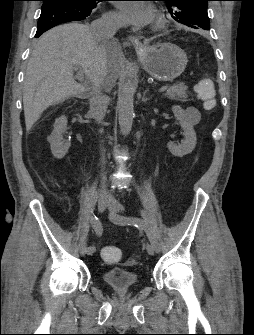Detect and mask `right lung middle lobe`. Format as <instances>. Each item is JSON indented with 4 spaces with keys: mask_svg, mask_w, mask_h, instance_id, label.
I'll list each match as a JSON object with an SVG mask.
<instances>
[{
    "mask_svg": "<svg viewBox=\"0 0 254 335\" xmlns=\"http://www.w3.org/2000/svg\"><path fill=\"white\" fill-rule=\"evenodd\" d=\"M41 1H43V3L51 2V1H69V2L79 4L81 6L95 8L98 3L97 1H101V0H41Z\"/></svg>",
    "mask_w": 254,
    "mask_h": 335,
    "instance_id": "right-lung-middle-lobe-1",
    "label": "right lung middle lobe"
}]
</instances>
